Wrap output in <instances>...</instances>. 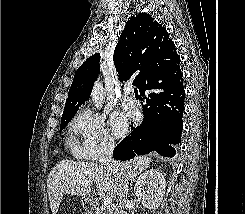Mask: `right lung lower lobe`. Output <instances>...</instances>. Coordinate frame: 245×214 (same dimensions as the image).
Instances as JSON below:
<instances>
[{
	"instance_id": "1",
	"label": "right lung lower lobe",
	"mask_w": 245,
	"mask_h": 214,
	"mask_svg": "<svg viewBox=\"0 0 245 214\" xmlns=\"http://www.w3.org/2000/svg\"><path fill=\"white\" fill-rule=\"evenodd\" d=\"M179 70L166 65L150 71L140 92L143 96L148 93L143 122L117 145L113 151L115 159L129 160L152 151L166 157L175 155L171 144L181 141L185 95Z\"/></svg>"
}]
</instances>
